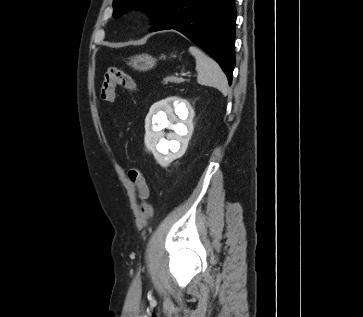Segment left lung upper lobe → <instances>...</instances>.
<instances>
[{
	"instance_id": "5c2ea615",
	"label": "left lung upper lobe",
	"mask_w": 363,
	"mask_h": 317,
	"mask_svg": "<svg viewBox=\"0 0 363 317\" xmlns=\"http://www.w3.org/2000/svg\"><path fill=\"white\" fill-rule=\"evenodd\" d=\"M167 0H114V16H118L131 7L142 8L149 12L152 23L156 20Z\"/></svg>"
}]
</instances>
